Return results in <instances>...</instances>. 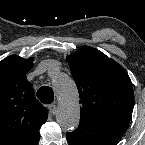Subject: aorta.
Returning <instances> with one entry per match:
<instances>
[{
  "instance_id": "obj_1",
  "label": "aorta",
  "mask_w": 145,
  "mask_h": 145,
  "mask_svg": "<svg viewBox=\"0 0 145 145\" xmlns=\"http://www.w3.org/2000/svg\"><path fill=\"white\" fill-rule=\"evenodd\" d=\"M59 101L57 121L65 131L74 130L80 121L78 91L74 81L56 68L50 70Z\"/></svg>"
}]
</instances>
